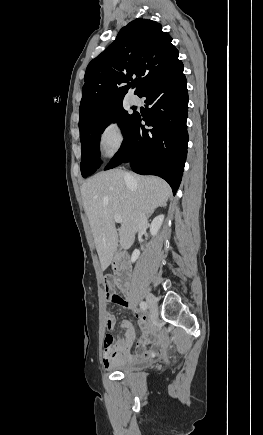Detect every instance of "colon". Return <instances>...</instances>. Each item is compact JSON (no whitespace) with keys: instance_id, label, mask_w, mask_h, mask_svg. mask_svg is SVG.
Instances as JSON below:
<instances>
[{"instance_id":"colon-1","label":"colon","mask_w":263,"mask_h":435,"mask_svg":"<svg viewBox=\"0 0 263 435\" xmlns=\"http://www.w3.org/2000/svg\"><path fill=\"white\" fill-rule=\"evenodd\" d=\"M104 286L106 290V298L108 301L112 303H119L121 301V297L114 292L112 286H113V278L112 277H106L104 280ZM111 335H106L103 343V348L105 350H114L115 343L112 341Z\"/></svg>"}]
</instances>
